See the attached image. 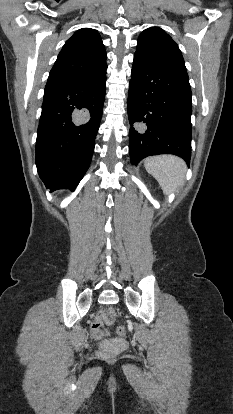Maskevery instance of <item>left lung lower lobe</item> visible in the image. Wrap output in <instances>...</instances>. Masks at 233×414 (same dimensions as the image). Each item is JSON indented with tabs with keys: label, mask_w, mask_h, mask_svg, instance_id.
Masks as SVG:
<instances>
[{
	"label": "left lung lower lobe",
	"mask_w": 233,
	"mask_h": 414,
	"mask_svg": "<svg viewBox=\"0 0 233 414\" xmlns=\"http://www.w3.org/2000/svg\"><path fill=\"white\" fill-rule=\"evenodd\" d=\"M128 94L129 153L137 165L150 155L191 157V88L186 71L134 55Z\"/></svg>",
	"instance_id": "1"
}]
</instances>
